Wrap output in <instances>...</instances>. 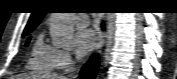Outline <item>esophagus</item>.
<instances>
[{
    "label": "esophagus",
    "instance_id": "obj_1",
    "mask_svg": "<svg viewBox=\"0 0 177 79\" xmlns=\"http://www.w3.org/2000/svg\"><path fill=\"white\" fill-rule=\"evenodd\" d=\"M99 18L100 19L102 18V14H100ZM103 44H104L103 33H102L101 30H99V32H98V43H97L96 48H95V50H96L97 53L101 52Z\"/></svg>",
    "mask_w": 177,
    "mask_h": 79
}]
</instances>
